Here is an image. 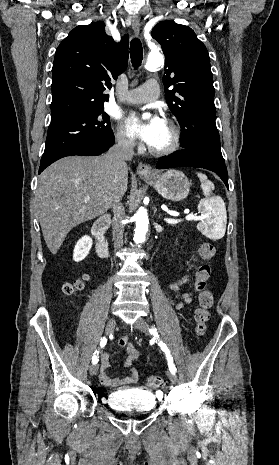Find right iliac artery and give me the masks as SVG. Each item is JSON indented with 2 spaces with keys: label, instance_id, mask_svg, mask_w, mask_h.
<instances>
[{
  "label": "right iliac artery",
  "instance_id": "1",
  "mask_svg": "<svg viewBox=\"0 0 279 465\" xmlns=\"http://www.w3.org/2000/svg\"><path fill=\"white\" fill-rule=\"evenodd\" d=\"M106 342H107V339L105 337L101 338V341H100V346L101 348L104 347L106 345ZM98 352L97 354H95L93 357H92V363L93 364H96L98 362Z\"/></svg>",
  "mask_w": 279,
  "mask_h": 465
}]
</instances>
